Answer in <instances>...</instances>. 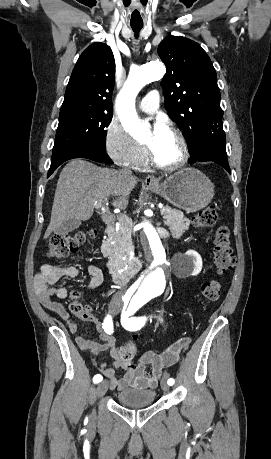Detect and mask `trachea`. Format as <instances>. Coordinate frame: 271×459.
Returning a JSON list of instances; mask_svg holds the SVG:
<instances>
[{"label":"trachea","mask_w":271,"mask_h":459,"mask_svg":"<svg viewBox=\"0 0 271 459\" xmlns=\"http://www.w3.org/2000/svg\"><path fill=\"white\" fill-rule=\"evenodd\" d=\"M133 31L135 32V37L139 36V32L142 29L143 25H131Z\"/></svg>","instance_id":"1"}]
</instances>
